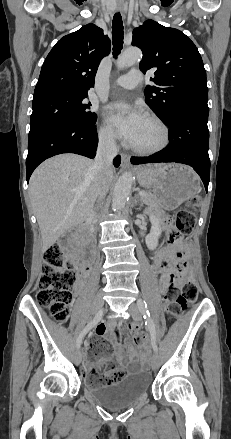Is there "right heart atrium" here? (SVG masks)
Here are the masks:
<instances>
[{
  "instance_id": "obj_1",
  "label": "right heart atrium",
  "mask_w": 231,
  "mask_h": 439,
  "mask_svg": "<svg viewBox=\"0 0 231 439\" xmlns=\"http://www.w3.org/2000/svg\"><path fill=\"white\" fill-rule=\"evenodd\" d=\"M99 142L106 147H112L115 145V135L111 128L107 125H101L98 130Z\"/></svg>"
}]
</instances>
